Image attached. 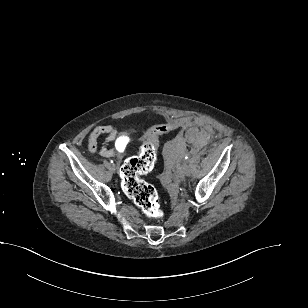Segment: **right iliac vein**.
I'll list each match as a JSON object with an SVG mask.
<instances>
[{
  "instance_id": "obj_1",
  "label": "right iliac vein",
  "mask_w": 308,
  "mask_h": 308,
  "mask_svg": "<svg viewBox=\"0 0 308 308\" xmlns=\"http://www.w3.org/2000/svg\"><path fill=\"white\" fill-rule=\"evenodd\" d=\"M116 169H117L116 165L113 164V165H112V170H113V171H116Z\"/></svg>"
}]
</instances>
